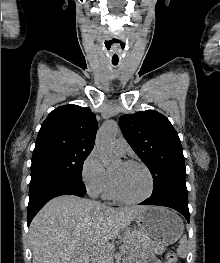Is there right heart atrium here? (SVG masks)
<instances>
[{"instance_id": "d8ad5b80", "label": "right heart atrium", "mask_w": 220, "mask_h": 263, "mask_svg": "<svg viewBox=\"0 0 220 263\" xmlns=\"http://www.w3.org/2000/svg\"><path fill=\"white\" fill-rule=\"evenodd\" d=\"M81 179L90 195L102 194L107 189L110 175L96 150H92L84 159L81 167Z\"/></svg>"}]
</instances>
